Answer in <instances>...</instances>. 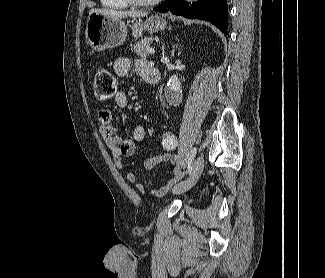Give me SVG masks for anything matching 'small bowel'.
<instances>
[{
    "instance_id": "small-bowel-1",
    "label": "small bowel",
    "mask_w": 325,
    "mask_h": 278,
    "mask_svg": "<svg viewBox=\"0 0 325 278\" xmlns=\"http://www.w3.org/2000/svg\"><path fill=\"white\" fill-rule=\"evenodd\" d=\"M132 63H133L132 60L129 58H125V57L118 58L113 65L115 73L120 77L126 76L131 70ZM134 65L139 75L144 78V73L146 67L148 66V62L145 60L138 59L134 61ZM114 101L120 109H126L128 106V98L123 91H118L116 93L114 97ZM98 120L100 123V132L103 136V139L107 147L110 149L114 157L116 165L121 170H124L122 164V158L129 157L134 154L137 145L141 143L145 138V128L142 125H138L133 129L129 137L122 138L117 134L116 130L112 126V114L108 109L99 110ZM170 134L173 133L169 131L164 132L161 138ZM167 162L173 164L174 176L167 182L165 186L158 189L151 190V192L155 195L164 194L170 186H172L176 181H178L183 177V173L179 171L178 158L169 152L155 155L149 158L145 162V168L147 170H152L157 165L161 163H167ZM124 173L126 179L129 182L131 183L136 182V175L134 172L124 170ZM136 186L141 191L145 190V186L142 183H137Z\"/></svg>"
}]
</instances>
